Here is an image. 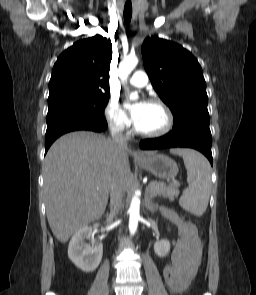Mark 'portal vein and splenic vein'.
Here are the masks:
<instances>
[{
    "label": "portal vein and splenic vein",
    "mask_w": 256,
    "mask_h": 295,
    "mask_svg": "<svg viewBox=\"0 0 256 295\" xmlns=\"http://www.w3.org/2000/svg\"><path fill=\"white\" fill-rule=\"evenodd\" d=\"M174 185H176V186H179V185H180V183H179V182H176V183H174Z\"/></svg>",
    "instance_id": "portal-vein-and-splenic-vein-1"
}]
</instances>
